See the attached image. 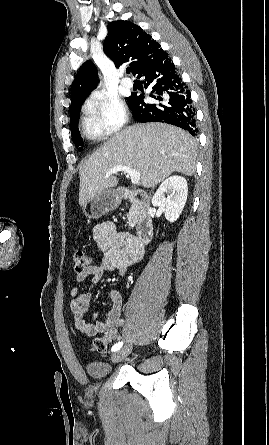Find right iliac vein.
I'll return each instance as SVG.
<instances>
[{"instance_id": "right-iliac-vein-1", "label": "right iliac vein", "mask_w": 269, "mask_h": 445, "mask_svg": "<svg viewBox=\"0 0 269 445\" xmlns=\"http://www.w3.org/2000/svg\"><path fill=\"white\" fill-rule=\"evenodd\" d=\"M131 348L130 347H124L120 350H118L117 352H115L111 359L113 362H120L121 360H123L129 353H130Z\"/></svg>"}]
</instances>
